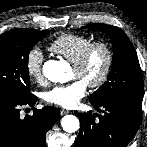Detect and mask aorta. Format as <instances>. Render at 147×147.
I'll return each instance as SVG.
<instances>
[{"instance_id":"aorta-1","label":"aorta","mask_w":147,"mask_h":147,"mask_svg":"<svg viewBox=\"0 0 147 147\" xmlns=\"http://www.w3.org/2000/svg\"><path fill=\"white\" fill-rule=\"evenodd\" d=\"M70 66L64 61L49 60L43 65V74L51 82L66 83L70 77ZM61 126L68 133L76 132L80 127L79 119L74 115H66L61 120Z\"/></svg>"}]
</instances>
